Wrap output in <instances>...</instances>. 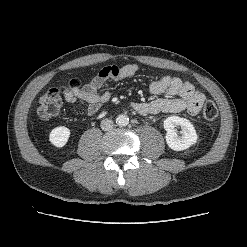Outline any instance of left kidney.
<instances>
[{
  "instance_id": "left-kidney-1",
  "label": "left kidney",
  "mask_w": 247,
  "mask_h": 247,
  "mask_svg": "<svg viewBox=\"0 0 247 247\" xmlns=\"http://www.w3.org/2000/svg\"><path fill=\"white\" fill-rule=\"evenodd\" d=\"M163 126L167 132L166 143L172 150L182 151L197 142L196 130L186 118L170 116L164 120ZM177 126L182 128L181 135L177 134Z\"/></svg>"
}]
</instances>
